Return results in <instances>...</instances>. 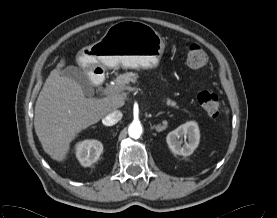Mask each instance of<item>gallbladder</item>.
<instances>
[{
	"label": "gallbladder",
	"mask_w": 277,
	"mask_h": 218,
	"mask_svg": "<svg viewBox=\"0 0 277 218\" xmlns=\"http://www.w3.org/2000/svg\"><path fill=\"white\" fill-rule=\"evenodd\" d=\"M62 75L76 81L83 89L84 94L90 95L93 86L88 75L76 66H67L62 70Z\"/></svg>",
	"instance_id": "1"
}]
</instances>
